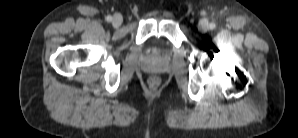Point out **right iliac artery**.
Returning <instances> with one entry per match:
<instances>
[{"label": "right iliac artery", "instance_id": "82829eb1", "mask_svg": "<svg viewBox=\"0 0 298 138\" xmlns=\"http://www.w3.org/2000/svg\"><path fill=\"white\" fill-rule=\"evenodd\" d=\"M106 21H107V22H111V21H112V17H111L110 15H108V16L106 17Z\"/></svg>", "mask_w": 298, "mask_h": 138}]
</instances>
